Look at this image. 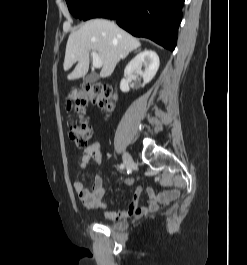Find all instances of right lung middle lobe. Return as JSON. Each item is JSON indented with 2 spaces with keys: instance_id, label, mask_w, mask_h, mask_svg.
<instances>
[{
  "instance_id": "right-lung-middle-lobe-1",
  "label": "right lung middle lobe",
  "mask_w": 247,
  "mask_h": 265,
  "mask_svg": "<svg viewBox=\"0 0 247 265\" xmlns=\"http://www.w3.org/2000/svg\"><path fill=\"white\" fill-rule=\"evenodd\" d=\"M102 0H66L69 11L76 18L82 19L95 4Z\"/></svg>"
}]
</instances>
